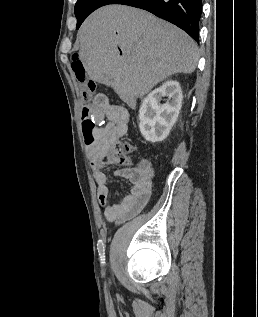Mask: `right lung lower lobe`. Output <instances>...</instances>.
Listing matches in <instances>:
<instances>
[{"instance_id": "obj_1", "label": "right lung lower lobe", "mask_w": 258, "mask_h": 317, "mask_svg": "<svg viewBox=\"0 0 258 317\" xmlns=\"http://www.w3.org/2000/svg\"><path fill=\"white\" fill-rule=\"evenodd\" d=\"M108 4H123L147 10L183 29L199 43L202 0H86L77 13V28L94 10Z\"/></svg>"}]
</instances>
